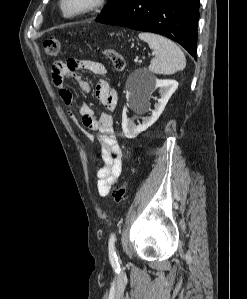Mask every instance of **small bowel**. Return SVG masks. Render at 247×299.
<instances>
[{
	"label": "small bowel",
	"instance_id": "c3829d8e",
	"mask_svg": "<svg viewBox=\"0 0 247 299\" xmlns=\"http://www.w3.org/2000/svg\"><path fill=\"white\" fill-rule=\"evenodd\" d=\"M81 70H87L99 76H104L107 73L103 63L93 60L68 59L65 62L57 61L52 65L53 82L59 88L60 98L74 120L75 118L71 112L74 106V98L72 92L64 86V80L67 76H71L85 92H90L91 86L80 75ZM95 96L104 106L105 111L97 118L93 109L84 103L80 106L79 113L82 124L86 128L97 132L103 161L97 171V191L100 196L105 197L115 186L122 173L123 153L116 138L112 117V112L117 105L118 94L106 80L101 79L97 83ZM85 137L89 141H93L92 135L85 133Z\"/></svg>",
	"mask_w": 247,
	"mask_h": 299
}]
</instances>
